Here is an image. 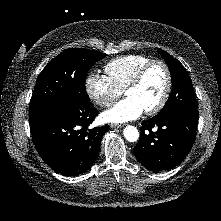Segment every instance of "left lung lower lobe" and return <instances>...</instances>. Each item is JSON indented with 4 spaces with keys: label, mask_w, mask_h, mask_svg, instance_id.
Returning <instances> with one entry per match:
<instances>
[{
    "label": "left lung lower lobe",
    "mask_w": 221,
    "mask_h": 221,
    "mask_svg": "<svg viewBox=\"0 0 221 221\" xmlns=\"http://www.w3.org/2000/svg\"><path fill=\"white\" fill-rule=\"evenodd\" d=\"M198 115L186 112L157 114L142 122L141 136L133 149L136 159L158 172L179 165L196 138Z\"/></svg>",
    "instance_id": "left-lung-lower-lobe-1"
}]
</instances>
